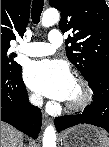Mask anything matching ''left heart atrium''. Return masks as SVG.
<instances>
[{
  "label": "left heart atrium",
  "instance_id": "left-heart-atrium-1",
  "mask_svg": "<svg viewBox=\"0 0 109 147\" xmlns=\"http://www.w3.org/2000/svg\"><path fill=\"white\" fill-rule=\"evenodd\" d=\"M24 80L34 91L48 98L67 100L73 76L68 65L60 60H41L28 64Z\"/></svg>",
  "mask_w": 109,
  "mask_h": 147
}]
</instances>
